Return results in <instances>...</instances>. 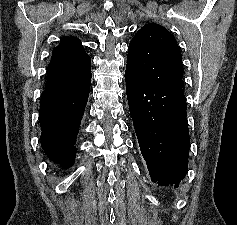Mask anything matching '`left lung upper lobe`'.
Segmentation results:
<instances>
[{
  "instance_id": "left-lung-upper-lobe-1",
  "label": "left lung upper lobe",
  "mask_w": 237,
  "mask_h": 225,
  "mask_svg": "<svg viewBox=\"0 0 237 225\" xmlns=\"http://www.w3.org/2000/svg\"><path fill=\"white\" fill-rule=\"evenodd\" d=\"M126 71L143 84L182 89V55L174 36L161 25L145 24L130 42Z\"/></svg>"
}]
</instances>
